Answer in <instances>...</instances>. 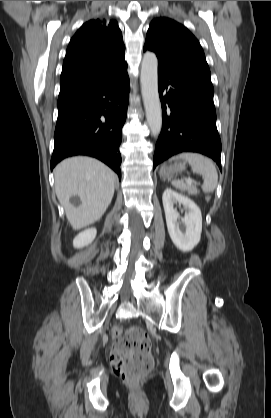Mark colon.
<instances>
[{"mask_svg": "<svg viewBox=\"0 0 271 418\" xmlns=\"http://www.w3.org/2000/svg\"><path fill=\"white\" fill-rule=\"evenodd\" d=\"M113 336L115 344L110 362L114 373L127 381L143 378L154 364L150 352L151 342L146 332L137 327L122 332L115 327Z\"/></svg>", "mask_w": 271, "mask_h": 418, "instance_id": "obj_1", "label": "colon"}]
</instances>
